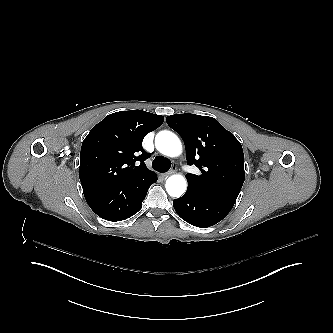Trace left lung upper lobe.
<instances>
[{"label": "left lung upper lobe", "instance_id": "1", "mask_svg": "<svg viewBox=\"0 0 333 333\" xmlns=\"http://www.w3.org/2000/svg\"><path fill=\"white\" fill-rule=\"evenodd\" d=\"M166 121L182 137L187 163L202 173L186 175V192L234 204L245 179L244 154L236 137L212 117L176 114Z\"/></svg>", "mask_w": 333, "mask_h": 333}]
</instances>
